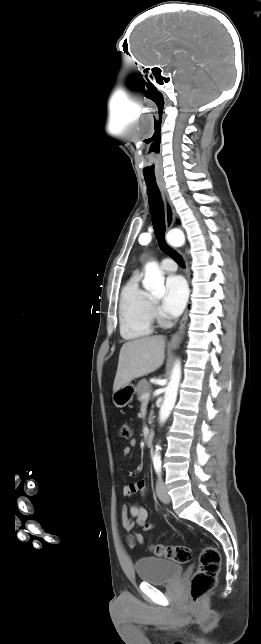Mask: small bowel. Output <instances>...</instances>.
I'll list each match as a JSON object with an SVG mask.
<instances>
[{
	"label": "small bowel",
	"instance_id": "small-bowel-1",
	"mask_svg": "<svg viewBox=\"0 0 261 644\" xmlns=\"http://www.w3.org/2000/svg\"><path fill=\"white\" fill-rule=\"evenodd\" d=\"M135 445V441L131 442V446ZM125 456L131 453V447L126 446L123 449ZM147 489V483L144 479L130 482L125 484L122 489L124 496H131L136 493H144ZM122 512V523L124 529L130 533L127 536V541L131 547H134L137 543H144V537L141 533L136 531L137 528H141L145 532H150L154 530L155 525L149 522L147 510L140 505L125 506L121 508Z\"/></svg>",
	"mask_w": 261,
	"mask_h": 644
}]
</instances>
